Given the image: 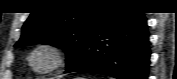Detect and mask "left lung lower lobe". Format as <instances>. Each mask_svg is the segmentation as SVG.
<instances>
[{
  "instance_id": "obj_1",
  "label": "left lung lower lobe",
  "mask_w": 177,
  "mask_h": 79,
  "mask_svg": "<svg viewBox=\"0 0 177 79\" xmlns=\"http://www.w3.org/2000/svg\"><path fill=\"white\" fill-rule=\"evenodd\" d=\"M150 49L143 13L106 9L65 73L91 72L117 79H147Z\"/></svg>"
}]
</instances>
